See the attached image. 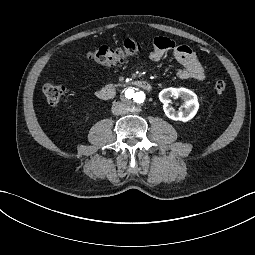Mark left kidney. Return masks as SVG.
Returning <instances> with one entry per match:
<instances>
[{"label":"left kidney","mask_w":255,"mask_h":255,"mask_svg":"<svg viewBox=\"0 0 255 255\" xmlns=\"http://www.w3.org/2000/svg\"><path fill=\"white\" fill-rule=\"evenodd\" d=\"M170 98H180L185 110L176 112L170 104ZM159 100L164 105L165 115L174 121L188 122L199 110L197 95L187 88H165L159 93Z\"/></svg>","instance_id":"5707ae66"}]
</instances>
